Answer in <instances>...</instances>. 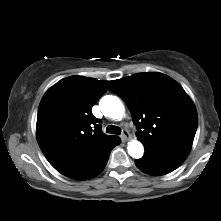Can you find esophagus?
Listing matches in <instances>:
<instances>
[{
    "label": "esophagus",
    "mask_w": 221,
    "mask_h": 221,
    "mask_svg": "<svg viewBox=\"0 0 221 221\" xmlns=\"http://www.w3.org/2000/svg\"><path fill=\"white\" fill-rule=\"evenodd\" d=\"M129 137H130L129 132H128L127 130H123V131H122V134H121V139H122L123 141H126V140H128Z\"/></svg>",
    "instance_id": "esophagus-1"
}]
</instances>
